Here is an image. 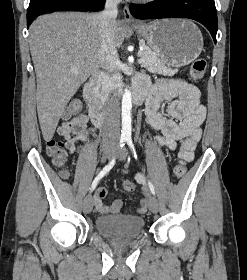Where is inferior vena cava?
Instances as JSON below:
<instances>
[{
    "mask_svg": "<svg viewBox=\"0 0 247 280\" xmlns=\"http://www.w3.org/2000/svg\"><path fill=\"white\" fill-rule=\"evenodd\" d=\"M121 0H106L104 10L98 14L99 34L101 38V66L107 73H113L117 68L118 54L114 46L118 4ZM103 142L115 143L120 137V115L118 100L115 96L109 99L104 116Z\"/></svg>",
    "mask_w": 247,
    "mask_h": 280,
    "instance_id": "602c4592",
    "label": "inferior vena cava"
}]
</instances>
